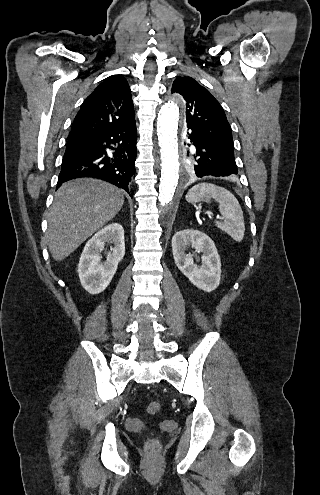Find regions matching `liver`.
Wrapping results in <instances>:
<instances>
[{
    "label": "liver",
    "mask_w": 320,
    "mask_h": 495,
    "mask_svg": "<svg viewBox=\"0 0 320 495\" xmlns=\"http://www.w3.org/2000/svg\"><path fill=\"white\" fill-rule=\"evenodd\" d=\"M123 204L122 191L109 183L91 178L63 183L55 194L45 235L53 259L68 257L113 219Z\"/></svg>",
    "instance_id": "liver-1"
}]
</instances>
